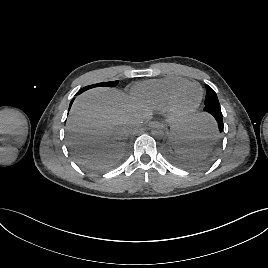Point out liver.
<instances>
[{"label":"liver","instance_id":"6515ba94","mask_svg":"<svg viewBox=\"0 0 268 268\" xmlns=\"http://www.w3.org/2000/svg\"><path fill=\"white\" fill-rule=\"evenodd\" d=\"M150 113L117 89L94 88L74 101L67 120L68 144L96 163L116 158L123 141ZM204 119L196 116L189 126Z\"/></svg>","mask_w":268,"mask_h":268}]
</instances>
